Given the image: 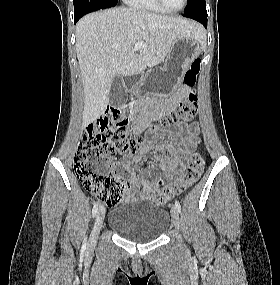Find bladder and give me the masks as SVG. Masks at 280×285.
I'll return each instance as SVG.
<instances>
[{"label": "bladder", "instance_id": "1", "mask_svg": "<svg viewBox=\"0 0 280 285\" xmlns=\"http://www.w3.org/2000/svg\"><path fill=\"white\" fill-rule=\"evenodd\" d=\"M168 212L148 201L128 200L114 207L108 226L120 237L145 242L158 239L168 228Z\"/></svg>", "mask_w": 280, "mask_h": 285}]
</instances>
